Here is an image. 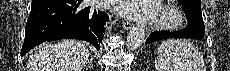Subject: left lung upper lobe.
Here are the masks:
<instances>
[{
	"label": "left lung upper lobe",
	"mask_w": 230,
	"mask_h": 71,
	"mask_svg": "<svg viewBox=\"0 0 230 71\" xmlns=\"http://www.w3.org/2000/svg\"><path fill=\"white\" fill-rule=\"evenodd\" d=\"M178 1L182 5V7H185L186 5H193L201 8V0H178Z\"/></svg>",
	"instance_id": "left-lung-upper-lobe-1"
}]
</instances>
